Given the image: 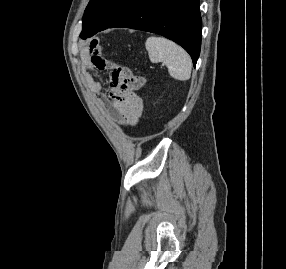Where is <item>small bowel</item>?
I'll return each mask as SVG.
<instances>
[{"label": "small bowel", "instance_id": "1", "mask_svg": "<svg viewBox=\"0 0 286 269\" xmlns=\"http://www.w3.org/2000/svg\"><path fill=\"white\" fill-rule=\"evenodd\" d=\"M85 56L90 58L88 63L84 65L86 83L96 96L100 106L104 109L109 119L123 127L134 126L137 124L143 110H123L122 95H118V91H116V88L113 86V75L110 77L108 96L106 97L103 95L105 83L100 75V71H110L112 66L117 64L110 62L103 57L98 42H91L89 44ZM89 71H93L94 75H91Z\"/></svg>", "mask_w": 286, "mask_h": 269}]
</instances>
